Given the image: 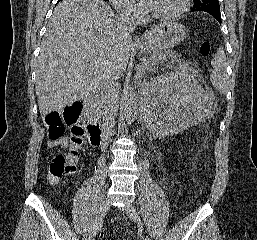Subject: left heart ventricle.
<instances>
[{
    "label": "left heart ventricle",
    "mask_w": 257,
    "mask_h": 240,
    "mask_svg": "<svg viewBox=\"0 0 257 240\" xmlns=\"http://www.w3.org/2000/svg\"><path fill=\"white\" fill-rule=\"evenodd\" d=\"M181 0H149V8L157 14H168L176 10Z\"/></svg>",
    "instance_id": "obj_1"
}]
</instances>
